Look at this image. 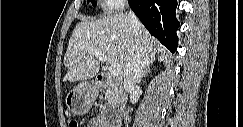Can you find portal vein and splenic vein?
Listing matches in <instances>:
<instances>
[{
  "label": "portal vein and splenic vein",
  "mask_w": 243,
  "mask_h": 127,
  "mask_svg": "<svg viewBox=\"0 0 243 127\" xmlns=\"http://www.w3.org/2000/svg\"><path fill=\"white\" fill-rule=\"evenodd\" d=\"M89 54L94 55L96 58H98L101 62H107L108 58L107 56L99 51L96 50H90ZM110 74L114 77L119 76L121 74V69L117 65H111L109 68Z\"/></svg>",
  "instance_id": "portal-vein-and-splenic-vein-1"
}]
</instances>
